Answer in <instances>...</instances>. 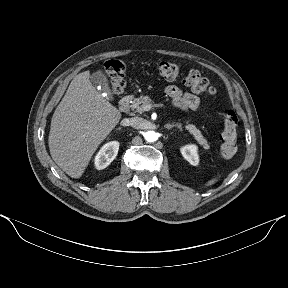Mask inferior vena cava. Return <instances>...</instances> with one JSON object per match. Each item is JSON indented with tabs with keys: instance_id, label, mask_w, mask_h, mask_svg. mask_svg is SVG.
Returning a JSON list of instances; mask_svg holds the SVG:
<instances>
[{
	"instance_id": "inferior-vena-cava-1",
	"label": "inferior vena cava",
	"mask_w": 288,
	"mask_h": 288,
	"mask_svg": "<svg viewBox=\"0 0 288 288\" xmlns=\"http://www.w3.org/2000/svg\"><path fill=\"white\" fill-rule=\"evenodd\" d=\"M129 124L136 128V129H150V130H156L158 128V123L156 121H148L144 120L141 117H133L130 119Z\"/></svg>"
}]
</instances>
